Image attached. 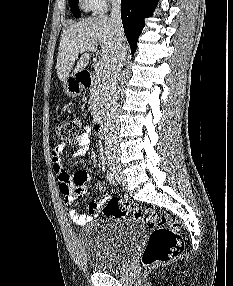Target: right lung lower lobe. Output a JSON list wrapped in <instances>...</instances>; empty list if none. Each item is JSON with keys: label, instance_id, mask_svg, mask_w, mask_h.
I'll use <instances>...</instances> for the list:
<instances>
[{"label": "right lung lower lobe", "instance_id": "1", "mask_svg": "<svg viewBox=\"0 0 233 286\" xmlns=\"http://www.w3.org/2000/svg\"><path fill=\"white\" fill-rule=\"evenodd\" d=\"M157 0H121V18L132 54L144 27V18L155 9Z\"/></svg>", "mask_w": 233, "mask_h": 286}]
</instances>
